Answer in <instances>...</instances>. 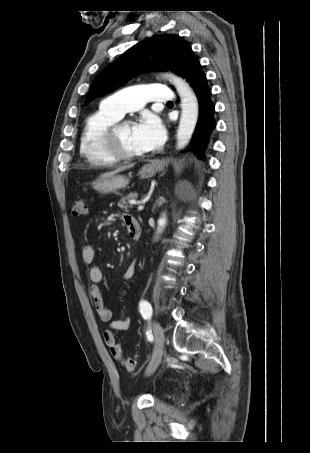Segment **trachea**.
I'll return each instance as SVG.
<instances>
[{"label": "trachea", "mask_w": 310, "mask_h": 453, "mask_svg": "<svg viewBox=\"0 0 310 453\" xmlns=\"http://www.w3.org/2000/svg\"><path fill=\"white\" fill-rule=\"evenodd\" d=\"M166 104H173V102H172V101H169V102H167Z\"/></svg>", "instance_id": "obj_1"}]
</instances>
